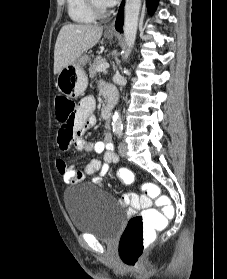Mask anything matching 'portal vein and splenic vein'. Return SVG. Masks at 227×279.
Masks as SVG:
<instances>
[{
    "label": "portal vein and splenic vein",
    "instance_id": "18ae733b",
    "mask_svg": "<svg viewBox=\"0 0 227 279\" xmlns=\"http://www.w3.org/2000/svg\"><path fill=\"white\" fill-rule=\"evenodd\" d=\"M107 68H109V64L104 63L98 68V72H105Z\"/></svg>",
    "mask_w": 227,
    "mask_h": 279
}]
</instances>
